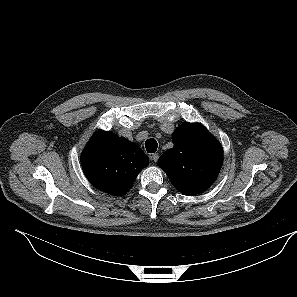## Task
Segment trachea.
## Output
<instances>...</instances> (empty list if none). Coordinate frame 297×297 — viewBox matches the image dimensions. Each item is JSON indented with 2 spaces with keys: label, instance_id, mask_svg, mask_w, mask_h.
<instances>
[{
  "label": "trachea",
  "instance_id": "3493384b",
  "mask_svg": "<svg viewBox=\"0 0 297 297\" xmlns=\"http://www.w3.org/2000/svg\"><path fill=\"white\" fill-rule=\"evenodd\" d=\"M145 147L148 153H154L157 151L158 143L155 139L150 138L146 140Z\"/></svg>",
  "mask_w": 297,
  "mask_h": 297
}]
</instances>
